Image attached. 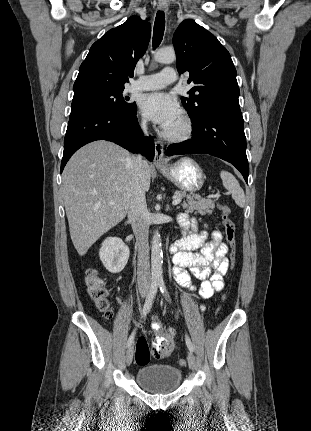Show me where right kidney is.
Here are the masks:
<instances>
[{
  "mask_svg": "<svg viewBox=\"0 0 311 431\" xmlns=\"http://www.w3.org/2000/svg\"><path fill=\"white\" fill-rule=\"evenodd\" d=\"M129 247L120 237H106L100 247V259L108 271L119 273L129 259Z\"/></svg>",
  "mask_w": 311,
  "mask_h": 431,
  "instance_id": "obj_1",
  "label": "right kidney"
}]
</instances>
